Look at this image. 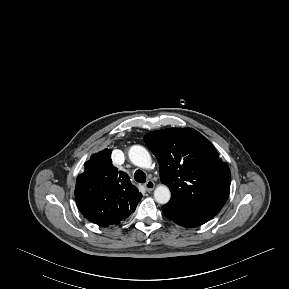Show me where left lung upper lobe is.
Wrapping results in <instances>:
<instances>
[{"instance_id": "left-lung-upper-lobe-1", "label": "left lung upper lobe", "mask_w": 289, "mask_h": 289, "mask_svg": "<svg viewBox=\"0 0 289 289\" xmlns=\"http://www.w3.org/2000/svg\"><path fill=\"white\" fill-rule=\"evenodd\" d=\"M144 142L158 160L170 201L219 213L229 196L231 173L210 141L191 128H168L146 134Z\"/></svg>"}]
</instances>
